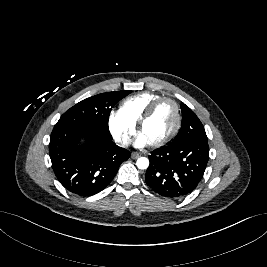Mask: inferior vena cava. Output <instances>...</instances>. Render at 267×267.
Returning a JSON list of instances; mask_svg holds the SVG:
<instances>
[{
    "instance_id": "inferior-vena-cava-1",
    "label": "inferior vena cava",
    "mask_w": 267,
    "mask_h": 267,
    "mask_svg": "<svg viewBox=\"0 0 267 267\" xmlns=\"http://www.w3.org/2000/svg\"><path fill=\"white\" fill-rule=\"evenodd\" d=\"M117 145H119L121 147H127L128 143L126 141L119 140V141H117Z\"/></svg>"
}]
</instances>
